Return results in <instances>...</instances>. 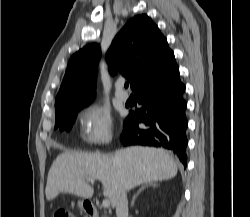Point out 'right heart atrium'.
Returning a JSON list of instances; mask_svg holds the SVG:
<instances>
[{"label": "right heart atrium", "instance_id": "1", "mask_svg": "<svg viewBox=\"0 0 250 217\" xmlns=\"http://www.w3.org/2000/svg\"><path fill=\"white\" fill-rule=\"evenodd\" d=\"M81 139L89 145H103L112 138V118L107 109L97 104L78 112Z\"/></svg>", "mask_w": 250, "mask_h": 217}]
</instances>
